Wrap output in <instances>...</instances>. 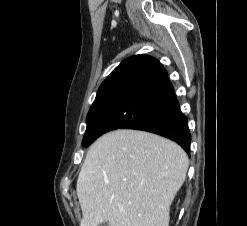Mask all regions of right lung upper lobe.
Returning <instances> with one entry per match:
<instances>
[{"mask_svg":"<svg viewBox=\"0 0 247 226\" xmlns=\"http://www.w3.org/2000/svg\"><path fill=\"white\" fill-rule=\"evenodd\" d=\"M126 60H124L123 62H121V64L119 66L123 67L125 64Z\"/></svg>","mask_w":247,"mask_h":226,"instance_id":"1","label":"right lung upper lobe"}]
</instances>
